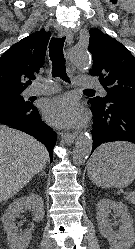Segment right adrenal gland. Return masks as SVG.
<instances>
[{"instance_id": "2a0ac1e0", "label": "right adrenal gland", "mask_w": 135, "mask_h": 249, "mask_svg": "<svg viewBox=\"0 0 135 249\" xmlns=\"http://www.w3.org/2000/svg\"><path fill=\"white\" fill-rule=\"evenodd\" d=\"M40 175H41V176H44V175L46 176L45 171H44V170H42Z\"/></svg>"}]
</instances>
